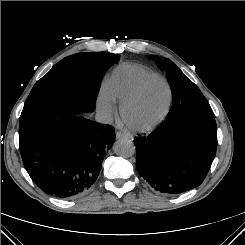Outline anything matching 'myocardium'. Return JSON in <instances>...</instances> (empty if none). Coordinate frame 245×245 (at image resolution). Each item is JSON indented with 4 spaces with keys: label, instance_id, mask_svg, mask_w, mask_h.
<instances>
[{
    "label": "myocardium",
    "instance_id": "1",
    "mask_svg": "<svg viewBox=\"0 0 245 245\" xmlns=\"http://www.w3.org/2000/svg\"><path fill=\"white\" fill-rule=\"evenodd\" d=\"M156 82L162 83L166 87V90H167V100H166L163 110L153 121L149 123H146V124L132 123L127 118V110L140 100L145 89L149 85H151L152 83H156ZM171 101H172V90H171L169 83L165 79L159 76L147 79L137 88V90L129 98H127L125 101L121 103V106H120L121 118L123 122L125 123V125L132 131L140 132V133L149 132L155 129L165 119V117L167 116L169 112Z\"/></svg>",
    "mask_w": 245,
    "mask_h": 245
}]
</instances>
